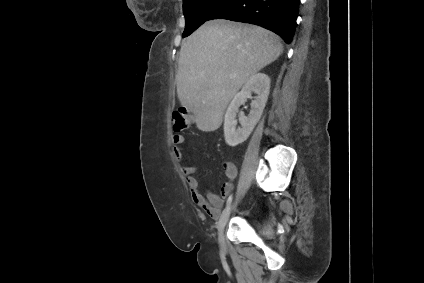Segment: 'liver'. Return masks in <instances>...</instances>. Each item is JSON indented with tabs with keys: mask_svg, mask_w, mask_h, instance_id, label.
Masks as SVG:
<instances>
[{
	"mask_svg": "<svg viewBox=\"0 0 424 283\" xmlns=\"http://www.w3.org/2000/svg\"><path fill=\"white\" fill-rule=\"evenodd\" d=\"M282 52L279 37L258 25L204 23L180 49L176 87L182 107L194 114L199 130L215 131L243 84Z\"/></svg>",
	"mask_w": 424,
	"mask_h": 283,
	"instance_id": "6515ba94",
	"label": "liver"
}]
</instances>
